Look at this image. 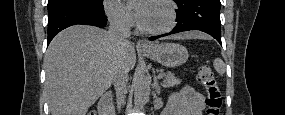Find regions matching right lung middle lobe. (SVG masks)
<instances>
[{
  "label": "right lung middle lobe",
  "instance_id": "dd1d6c3e",
  "mask_svg": "<svg viewBox=\"0 0 285 115\" xmlns=\"http://www.w3.org/2000/svg\"><path fill=\"white\" fill-rule=\"evenodd\" d=\"M67 6H81L94 10H102L103 0H48V13Z\"/></svg>",
  "mask_w": 285,
  "mask_h": 115
}]
</instances>
